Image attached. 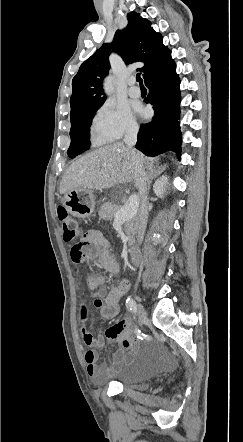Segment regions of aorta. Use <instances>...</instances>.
Instances as JSON below:
<instances>
[{
  "instance_id": "1",
  "label": "aorta",
  "mask_w": 243,
  "mask_h": 442,
  "mask_svg": "<svg viewBox=\"0 0 243 442\" xmlns=\"http://www.w3.org/2000/svg\"><path fill=\"white\" fill-rule=\"evenodd\" d=\"M105 91L107 95H110L113 92L112 80L111 78H107L104 83Z\"/></svg>"
}]
</instances>
